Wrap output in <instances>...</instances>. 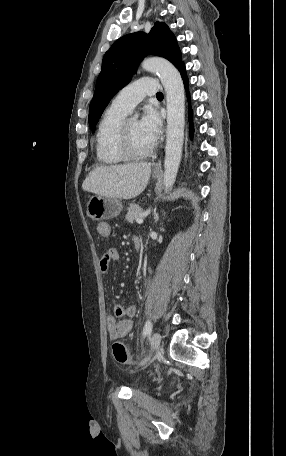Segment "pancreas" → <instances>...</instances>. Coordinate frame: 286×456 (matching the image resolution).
Listing matches in <instances>:
<instances>
[{
  "label": "pancreas",
  "mask_w": 286,
  "mask_h": 456,
  "mask_svg": "<svg viewBox=\"0 0 286 456\" xmlns=\"http://www.w3.org/2000/svg\"><path fill=\"white\" fill-rule=\"evenodd\" d=\"M142 213L143 209L139 205L132 204L128 208V212L125 218L128 222L133 223L137 218L141 216Z\"/></svg>",
  "instance_id": "pancreas-1"
}]
</instances>
